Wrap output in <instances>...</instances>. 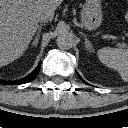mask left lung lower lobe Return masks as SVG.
Masks as SVG:
<instances>
[{"instance_id": "0a47b994", "label": "left lung lower lobe", "mask_w": 128, "mask_h": 128, "mask_svg": "<svg viewBox=\"0 0 128 128\" xmlns=\"http://www.w3.org/2000/svg\"><path fill=\"white\" fill-rule=\"evenodd\" d=\"M78 74V73H77ZM78 76H79V78L82 80V81H84L81 77H80V75L78 74ZM85 82V81H84ZM86 83V82H85Z\"/></svg>"}]
</instances>
